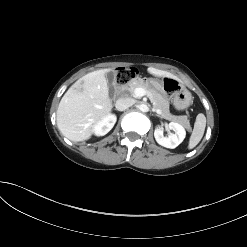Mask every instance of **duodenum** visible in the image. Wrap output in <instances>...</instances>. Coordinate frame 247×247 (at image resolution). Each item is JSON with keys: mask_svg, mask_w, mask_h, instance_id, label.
Listing matches in <instances>:
<instances>
[{"mask_svg": "<svg viewBox=\"0 0 247 247\" xmlns=\"http://www.w3.org/2000/svg\"><path fill=\"white\" fill-rule=\"evenodd\" d=\"M136 80H137V78H136L135 80H132V81H136ZM132 81H131V82H132ZM137 81H138V80H137ZM139 81H140V80H139ZM131 82H130V83H131ZM130 83H129V85H130ZM126 87H127V86H126Z\"/></svg>", "mask_w": 247, "mask_h": 247, "instance_id": "410a0bca", "label": "duodenum"}]
</instances>
